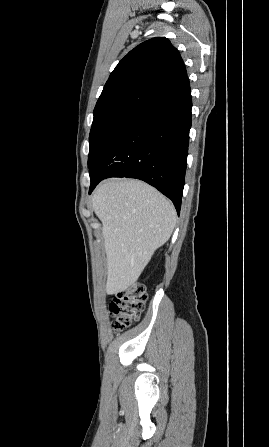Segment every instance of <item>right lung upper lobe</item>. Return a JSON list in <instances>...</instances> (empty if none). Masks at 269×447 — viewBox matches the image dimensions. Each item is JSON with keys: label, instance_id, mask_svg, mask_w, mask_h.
Masks as SVG:
<instances>
[{"label": "right lung upper lobe", "instance_id": "obj_1", "mask_svg": "<svg viewBox=\"0 0 269 447\" xmlns=\"http://www.w3.org/2000/svg\"><path fill=\"white\" fill-rule=\"evenodd\" d=\"M186 76L183 60L167 38L143 42L111 73L95 106L94 117L119 107H143Z\"/></svg>", "mask_w": 269, "mask_h": 447}]
</instances>
